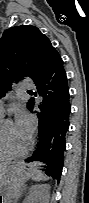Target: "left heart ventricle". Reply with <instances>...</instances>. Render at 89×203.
Segmentation results:
<instances>
[{
	"label": "left heart ventricle",
	"instance_id": "1",
	"mask_svg": "<svg viewBox=\"0 0 89 203\" xmlns=\"http://www.w3.org/2000/svg\"><path fill=\"white\" fill-rule=\"evenodd\" d=\"M5 147L11 153L21 151L27 145L28 139L24 138L16 129L12 122H7L3 127Z\"/></svg>",
	"mask_w": 89,
	"mask_h": 203
}]
</instances>
